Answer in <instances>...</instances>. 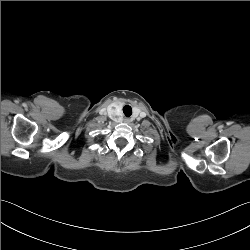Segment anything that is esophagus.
Returning a JSON list of instances; mask_svg holds the SVG:
<instances>
[{"label":"esophagus","instance_id":"esophagus-1","mask_svg":"<svg viewBox=\"0 0 250 250\" xmlns=\"http://www.w3.org/2000/svg\"><path fill=\"white\" fill-rule=\"evenodd\" d=\"M124 122H125V123H129L130 120L126 118V119H124Z\"/></svg>","mask_w":250,"mask_h":250}]
</instances>
